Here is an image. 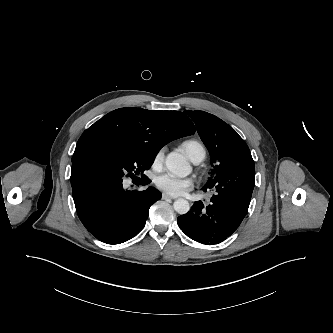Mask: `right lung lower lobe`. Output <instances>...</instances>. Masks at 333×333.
I'll return each instance as SVG.
<instances>
[{"label": "right lung lower lobe", "mask_w": 333, "mask_h": 333, "mask_svg": "<svg viewBox=\"0 0 333 333\" xmlns=\"http://www.w3.org/2000/svg\"><path fill=\"white\" fill-rule=\"evenodd\" d=\"M122 182L102 166L80 158L72 160L77 214L86 229L107 244L123 243L137 235L145 226L150 206L160 199V192L153 187L127 191Z\"/></svg>", "instance_id": "98d812e1"}]
</instances>
